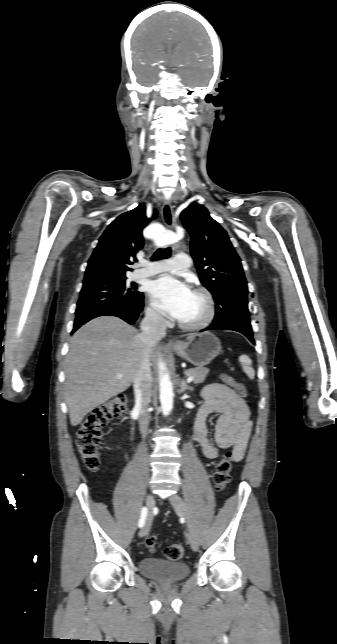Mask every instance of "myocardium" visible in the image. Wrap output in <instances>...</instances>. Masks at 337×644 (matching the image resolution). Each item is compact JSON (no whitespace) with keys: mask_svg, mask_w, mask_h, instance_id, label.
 <instances>
[{"mask_svg":"<svg viewBox=\"0 0 337 644\" xmlns=\"http://www.w3.org/2000/svg\"><path fill=\"white\" fill-rule=\"evenodd\" d=\"M193 293L203 298L205 303V314L200 320L193 323H186L180 320L178 321V325L182 329L189 330V331H197V330L205 329L213 322L216 316V303L212 293L207 288L202 286L196 287L193 290Z\"/></svg>","mask_w":337,"mask_h":644,"instance_id":"myocardium-1","label":"myocardium"}]
</instances>
